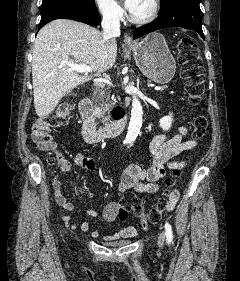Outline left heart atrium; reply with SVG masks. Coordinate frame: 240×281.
Segmentation results:
<instances>
[{"instance_id":"1","label":"left heart atrium","mask_w":240,"mask_h":281,"mask_svg":"<svg viewBox=\"0 0 240 281\" xmlns=\"http://www.w3.org/2000/svg\"><path fill=\"white\" fill-rule=\"evenodd\" d=\"M140 0H124L125 7L132 12L138 5Z\"/></svg>"}]
</instances>
